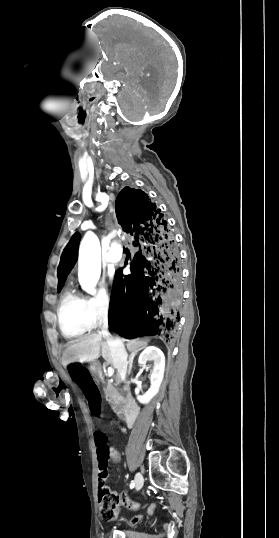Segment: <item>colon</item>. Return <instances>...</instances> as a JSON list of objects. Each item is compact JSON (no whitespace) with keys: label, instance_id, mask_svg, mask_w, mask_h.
Masks as SVG:
<instances>
[{"label":"colon","instance_id":"5ec220e1","mask_svg":"<svg viewBox=\"0 0 279 538\" xmlns=\"http://www.w3.org/2000/svg\"><path fill=\"white\" fill-rule=\"evenodd\" d=\"M94 442L98 454L100 512L103 519L113 520L116 516V509L120 498L107 486L106 483L107 466L109 458L111 457V448L109 446L108 437L104 432H95Z\"/></svg>","mask_w":279,"mask_h":538}]
</instances>
